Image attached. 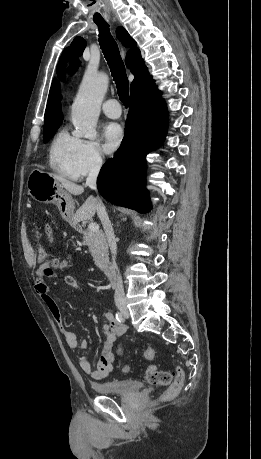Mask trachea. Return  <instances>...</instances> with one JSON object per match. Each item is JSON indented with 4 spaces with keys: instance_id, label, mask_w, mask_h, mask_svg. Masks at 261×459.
Segmentation results:
<instances>
[{
    "instance_id": "obj_1",
    "label": "trachea",
    "mask_w": 261,
    "mask_h": 459,
    "mask_svg": "<svg viewBox=\"0 0 261 459\" xmlns=\"http://www.w3.org/2000/svg\"><path fill=\"white\" fill-rule=\"evenodd\" d=\"M99 27V44L116 83L122 103L128 107L129 81L119 48L104 20H94Z\"/></svg>"
}]
</instances>
